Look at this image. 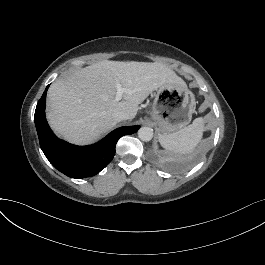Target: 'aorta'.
<instances>
[{
  "instance_id": "aorta-1",
  "label": "aorta",
  "mask_w": 265,
  "mask_h": 265,
  "mask_svg": "<svg viewBox=\"0 0 265 265\" xmlns=\"http://www.w3.org/2000/svg\"><path fill=\"white\" fill-rule=\"evenodd\" d=\"M138 137L142 141H150L153 138V129L150 127H141L138 131Z\"/></svg>"
}]
</instances>
